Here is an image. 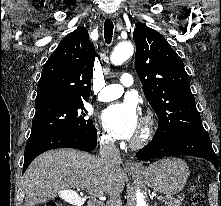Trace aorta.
<instances>
[{"instance_id": "1", "label": "aorta", "mask_w": 221, "mask_h": 206, "mask_svg": "<svg viewBox=\"0 0 221 206\" xmlns=\"http://www.w3.org/2000/svg\"><path fill=\"white\" fill-rule=\"evenodd\" d=\"M133 52L134 47L130 41L120 42L111 54V62L114 65H121L133 55ZM136 206H147L146 201L143 199V194L140 191L136 192Z\"/></svg>"}]
</instances>
